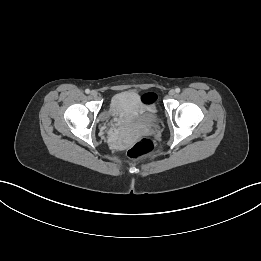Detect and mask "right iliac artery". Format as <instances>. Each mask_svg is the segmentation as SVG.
Returning a JSON list of instances; mask_svg holds the SVG:
<instances>
[{"mask_svg": "<svg viewBox=\"0 0 261 261\" xmlns=\"http://www.w3.org/2000/svg\"><path fill=\"white\" fill-rule=\"evenodd\" d=\"M85 93L89 94V93H90V90H89V89H86V90H85Z\"/></svg>", "mask_w": 261, "mask_h": 261, "instance_id": "1", "label": "right iliac artery"}]
</instances>
